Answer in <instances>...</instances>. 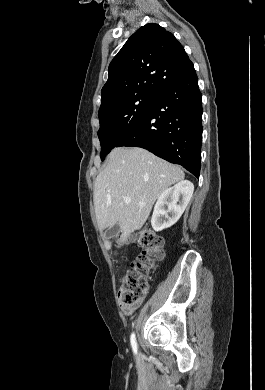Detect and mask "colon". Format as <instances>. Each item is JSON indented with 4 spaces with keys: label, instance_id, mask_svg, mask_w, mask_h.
<instances>
[{
    "label": "colon",
    "instance_id": "colon-1",
    "mask_svg": "<svg viewBox=\"0 0 265 390\" xmlns=\"http://www.w3.org/2000/svg\"><path fill=\"white\" fill-rule=\"evenodd\" d=\"M134 240L141 252L130 264L121 281L119 301L124 306L133 305L146 296L150 273L163 256V239L151 229L138 231Z\"/></svg>",
    "mask_w": 265,
    "mask_h": 390
}]
</instances>
